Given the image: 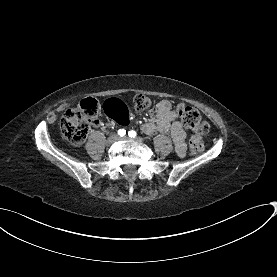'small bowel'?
<instances>
[{
  "mask_svg": "<svg viewBox=\"0 0 277 277\" xmlns=\"http://www.w3.org/2000/svg\"><path fill=\"white\" fill-rule=\"evenodd\" d=\"M147 135H152L156 131L169 133L174 142L175 150L179 156H184L186 151V133L181 122L178 120V114L172 109L168 100H160L155 105V114L150 120L141 127Z\"/></svg>",
  "mask_w": 277,
  "mask_h": 277,
  "instance_id": "obj_1",
  "label": "small bowel"
}]
</instances>
